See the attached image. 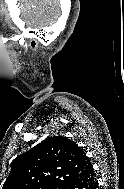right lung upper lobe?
Masks as SVG:
<instances>
[{"mask_svg":"<svg viewBox=\"0 0 124 189\" xmlns=\"http://www.w3.org/2000/svg\"><path fill=\"white\" fill-rule=\"evenodd\" d=\"M90 166L89 158L76 142L63 136L48 137L12 161L2 189L65 186Z\"/></svg>","mask_w":124,"mask_h":189,"instance_id":"obj_1","label":"right lung upper lobe"}]
</instances>
